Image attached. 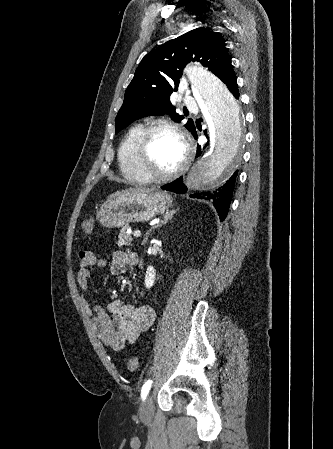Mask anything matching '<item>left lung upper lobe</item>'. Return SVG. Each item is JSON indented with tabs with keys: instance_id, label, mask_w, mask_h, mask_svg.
<instances>
[{
	"instance_id": "1",
	"label": "left lung upper lobe",
	"mask_w": 333,
	"mask_h": 449,
	"mask_svg": "<svg viewBox=\"0 0 333 449\" xmlns=\"http://www.w3.org/2000/svg\"><path fill=\"white\" fill-rule=\"evenodd\" d=\"M225 41L206 28L191 30L148 53L137 67L127 87L124 103L115 124L118 133L133 120L169 114L176 122L184 119L170 104V95L177 91L182 69L191 61H198L222 81L232 71ZM185 127L196 130L189 119Z\"/></svg>"
}]
</instances>
